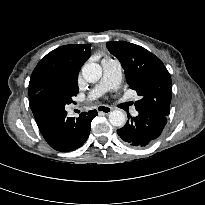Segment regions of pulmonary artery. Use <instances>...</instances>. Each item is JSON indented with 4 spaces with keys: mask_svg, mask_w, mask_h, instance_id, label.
I'll list each match as a JSON object with an SVG mask.
<instances>
[{
    "mask_svg": "<svg viewBox=\"0 0 205 205\" xmlns=\"http://www.w3.org/2000/svg\"><path fill=\"white\" fill-rule=\"evenodd\" d=\"M103 78L99 85L95 87L89 94L90 99H95L103 91L112 88L118 84L121 78V65L116 59H104L102 61ZM131 114L137 116V110H132Z\"/></svg>",
    "mask_w": 205,
    "mask_h": 205,
    "instance_id": "e3ab8cb5",
    "label": "pulmonary artery"
}]
</instances>
